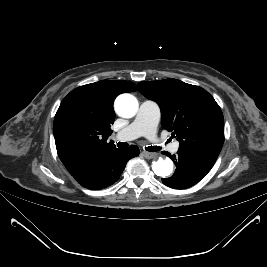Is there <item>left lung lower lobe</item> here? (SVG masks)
Returning <instances> with one entry per match:
<instances>
[{"label": "left lung lower lobe", "mask_w": 267, "mask_h": 267, "mask_svg": "<svg viewBox=\"0 0 267 267\" xmlns=\"http://www.w3.org/2000/svg\"><path fill=\"white\" fill-rule=\"evenodd\" d=\"M176 164L175 173L162 182L171 188L185 189L199 182L213 167L216 157L179 149L177 155L162 152Z\"/></svg>", "instance_id": "left-lung-lower-lobe-1"}]
</instances>
